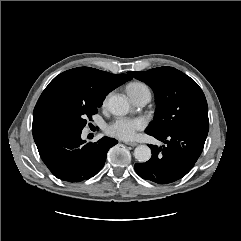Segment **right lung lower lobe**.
<instances>
[{
    "instance_id": "1",
    "label": "right lung lower lobe",
    "mask_w": 241,
    "mask_h": 241,
    "mask_svg": "<svg viewBox=\"0 0 241 241\" xmlns=\"http://www.w3.org/2000/svg\"><path fill=\"white\" fill-rule=\"evenodd\" d=\"M82 129L56 127L33 132L41 159L58 179L80 182L96 175L104 166L108 150L117 144L103 137L95 143L81 139Z\"/></svg>"
}]
</instances>
